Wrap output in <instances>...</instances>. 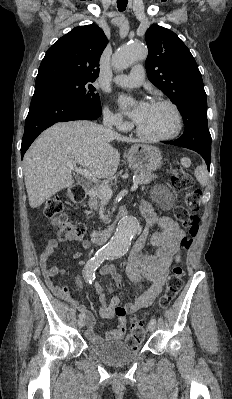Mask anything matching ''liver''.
Wrapping results in <instances>:
<instances>
[{"label":"liver","mask_w":232,"mask_h":399,"mask_svg":"<svg viewBox=\"0 0 232 399\" xmlns=\"http://www.w3.org/2000/svg\"><path fill=\"white\" fill-rule=\"evenodd\" d=\"M133 142L96 122H61L38 136L23 160L29 205L41 203L74 180L69 162H76L95 178H111L118 170L120 154L109 142Z\"/></svg>","instance_id":"obj_1"}]
</instances>
